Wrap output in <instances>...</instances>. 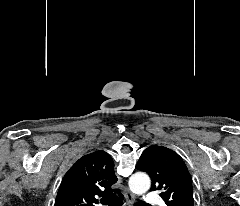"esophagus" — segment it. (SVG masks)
<instances>
[{"label": "esophagus", "mask_w": 240, "mask_h": 206, "mask_svg": "<svg viewBox=\"0 0 240 206\" xmlns=\"http://www.w3.org/2000/svg\"><path fill=\"white\" fill-rule=\"evenodd\" d=\"M124 196L128 203V206H132L136 200V196L127 188L124 190Z\"/></svg>", "instance_id": "34e87169"}]
</instances>
